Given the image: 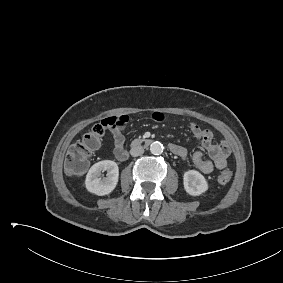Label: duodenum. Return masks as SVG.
Masks as SVG:
<instances>
[{
  "label": "duodenum",
  "instance_id": "duodenum-1",
  "mask_svg": "<svg viewBox=\"0 0 283 283\" xmlns=\"http://www.w3.org/2000/svg\"><path fill=\"white\" fill-rule=\"evenodd\" d=\"M152 140L150 139H136L132 142V147L137 148V147H148L151 144ZM128 154H126V157Z\"/></svg>",
  "mask_w": 283,
  "mask_h": 283
}]
</instances>
